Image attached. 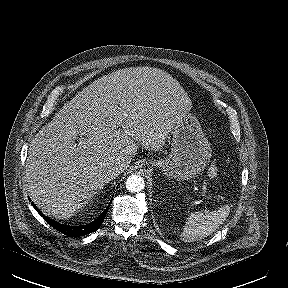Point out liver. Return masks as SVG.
Here are the masks:
<instances>
[{
  "label": "liver",
  "instance_id": "1",
  "mask_svg": "<svg viewBox=\"0 0 288 288\" xmlns=\"http://www.w3.org/2000/svg\"><path fill=\"white\" fill-rule=\"evenodd\" d=\"M191 107L179 82L158 68L129 67L93 81L31 141L25 182L32 200L70 218L110 181L107 165L120 163L124 172L138 145L159 151Z\"/></svg>",
  "mask_w": 288,
  "mask_h": 288
}]
</instances>
